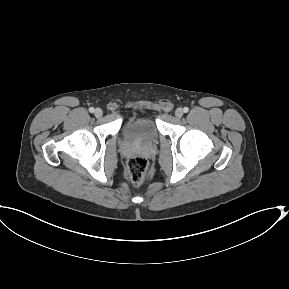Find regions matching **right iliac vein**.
<instances>
[{
	"instance_id": "63e3f726",
	"label": "right iliac vein",
	"mask_w": 289,
	"mask_h": 289,
	"mask_svg": "<svg viewBox=\"0 0 289 289\" xmlns=\"http://www.w3.org/2000/svg\"><path fill=\"white\" fill-rule=\"evenodd\" d=\"M94 115L99 118V117H101L103 115V111L100 108H97L94 111Z\"/></svg>"
}]
</instances>
